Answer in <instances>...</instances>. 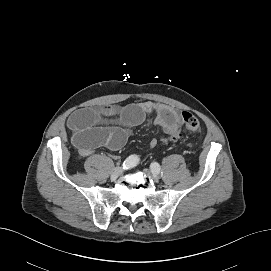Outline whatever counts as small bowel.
<instances>
[{
  "label": "small bowel",
  "mask_w": 271,
  "mask_h": 271,
  "mask_svg": "<svg viewBox=\"0 0 271 271\" xmlns=\"http://www.w3.org/2000/svg\"><path fill=\"white\" fill-rule=\"evenodd\" d=\"M150 114H154L156 123L167 130L182 122L176 110L151 102L123 108L105 106L101 110L81 109L68 119L72 142L84 156L99 147L117 150L128 140L130 128L141 124ZM107 120H113L119 125L101 126Z\"/></svg>",
  "instance_id": "c3829d8e"
}]
</instances>
